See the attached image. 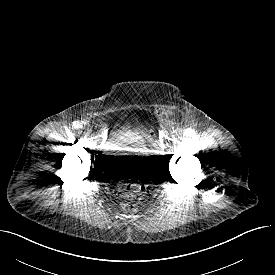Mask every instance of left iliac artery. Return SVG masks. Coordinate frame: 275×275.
<instances>
[{"instance_id": "44dca946", "label": "left iliac artery", "mask_w": 275, "mask_h": 275, "mask_svg": "<svg viewBox=\"0 0 275 275\" xmlns=\"http://www.w3.org/2000/svg\"><path fill=\"white\" fill-rule=\"evenodd\" d=\"M185 134H186L187 136H192V135L194 134V131H193L192 129H187V130L185 131Z\"/></svg>"}]
</instances>
